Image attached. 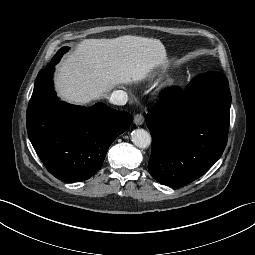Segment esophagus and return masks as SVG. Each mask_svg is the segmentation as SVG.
Segmentation results:
<instances>
[{"mask_svg": "<svg viewBox=\"0 0 255 255\" xmlns=\"http://www.w3.org/2000/svg\"><path fill=\"white\" fill-rule=\"evenodd\" d=\"M143 122H144V117H143L142 114H136V115L134 116V123H135L136 125H142Z\"/></svg>", "mask_w": 255, "mask_h": 255, "instance_id": "obj_1", "label": "esophagus"}]
</instances>
